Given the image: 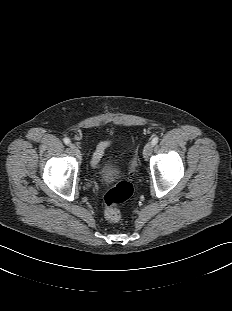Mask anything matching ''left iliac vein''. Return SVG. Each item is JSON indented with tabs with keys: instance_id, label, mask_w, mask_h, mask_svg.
<instances>
[{
	"instance_id": "obj_1",
	"label": "left iliac vein",
	"mask_w": 232,
	"mask_h": 311,
	"mask_svg": "<svg viewBox=\"0 0 232 311\" xmlns=\"http://www.w3.org/2000/svg\"><path fill=\"white\" fill-rule=\"evenodd\" d=\"M152 149H153L152 143H147L145 145L144 150H143V155L146 159L151 155Z\"/></svg>"
}]
</instances>
